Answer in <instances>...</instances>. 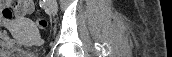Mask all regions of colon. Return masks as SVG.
Returning <instances> with one entry per match:
<instances>
[{"mask_svg": "<svg viewBox=\"0 0 172 57\" xmlns=\"http://www.w3.org/2000/svg\"><path fill=\"white\" fill-rule=\"evenodd\" d=\"M0 13L3 19L6 21L12 20L15 16L14 11L10 7H4L0 10ZM36 23L41 29H45L47 27V21L45 19H38Z\"/></svg>", "mask_w": 172, "mask_h": 57, "instance_id": "1", "label": "colon"}]
</instances>
